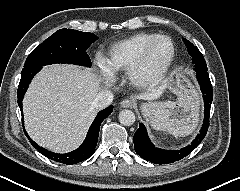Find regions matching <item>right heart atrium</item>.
<instances>
[{
	"mask_svg": "<svg viewBox=\"0 0 240 191\" xmlns=\"http://www.w3.org/2000/svg\"><path fill=\"white\" fill-rule=\"evenodd\" d=\"M96 65L100 69L101 73L107 78L109 82H113L114 77V71L111 69L108 60L104 58L102 55L96 56Z\"/></svg>",
	"mask_w": 240,
	"mask_h": 191,
	"instance_id": "right-heart-atrium-1",
	"label": "right heart atrium"
}]
</instances>
